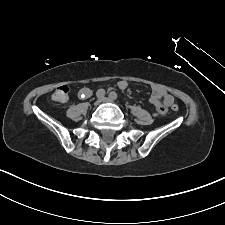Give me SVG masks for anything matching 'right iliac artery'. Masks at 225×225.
<instances>
[{"mask_svg":"<svg viewBox=\"0 0 225 225\" xmlns=\"http://www.w3.org/2000/svg\"><path fill=\"white\" fill-rule=\"evenodd\" d=\"M96 96H97V98H103L105 96V90L104 89H99L96 92Z\"/></svg>","mask_w":225,"mask_h":225,"instance_id":"1","label":"right iliac artery"}]
</instances>
